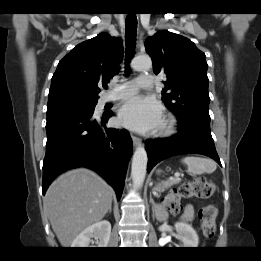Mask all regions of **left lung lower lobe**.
<instances>
[{
	"label": "left lung lower lobe",
	"instance_id": "left-lung-lower-lobe-1",
	"mask_svg": "<svg viewBox=\"0 0 261 261\" xmlns=\"http://www.w3.org/2000/svg\"><path fill=\"white\" fill-rule=\"evenodd\" d=\"M179 132L171 137L146 140L147 171L160 161L180 154H202L221 165L210 131V121L199 117L178 118Z\"/></svg>",
	"mask_w": 261,
	"mask_h": 261
}]
</instances>
